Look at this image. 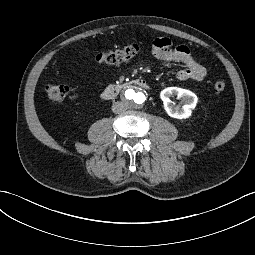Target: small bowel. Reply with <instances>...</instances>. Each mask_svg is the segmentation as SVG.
I'll list each match as a JSON object with an SVG mask.
<instances>
[{
    "label": "small bowel",
    "instance_id": "c3829d8e",
    "mask_svg": "<svg viewBox=\"0 0 255 255\" xmlns=\"http://www.w3.org/2000/svg\"><path fill=\"white\" fill-rule=\"evenodd\" d=\"M151 56L154 60L177 63L184 66L177 72L179 80L201 81L207 72L202 63L192 54L186 45L173 46L167 38H157L153 42Z\"/></svg>",
    "mask_w": 255,
    "mask_h": 255
}]
</instances>
